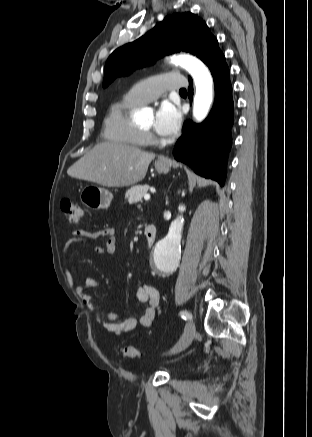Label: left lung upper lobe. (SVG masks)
Here are the masks:
<instances>
[{"mask_svg":"<svg viewBox=\"0 0 312 437\" xmlns=\"http://www.w3.org/2000/svg\"><path fill=\"white\" fill-rule=\"evenodd\" d=\"M179 51L196 55L207 66L221 52L217 39L202 19L190 12L169 15L150 32L116 49L109 56L103 87L118 76L127 75L137 67L152 64L159 57Z\"/></svg>","mask_w":312,"mask_h":437,"instance_id":"1","label":"left lung upper lobe"}]
</instances>
